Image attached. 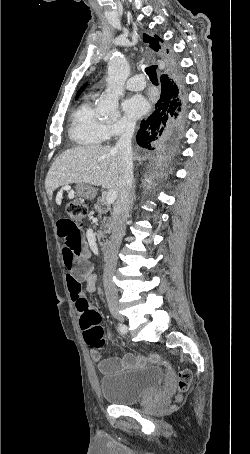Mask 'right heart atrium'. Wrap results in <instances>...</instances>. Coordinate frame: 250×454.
<instances>
[{
    "label": "right heart atrium",
    "instance_id": "obj_1",
    "mask_svg": "<svg viewBox=\"0 0 250 454\" xmlns=\"http://www.w3.org/2000/svg\"><path fill=\"white\" fill-rule=\"evenodd\" d=\"M133 127H134L133 123L126 119H121L107 125L109 135L112 137L124 135L131 131Z\"/></svg>",
    "mask_w": 250,
    "mask_h": 454
}]
</instances>
